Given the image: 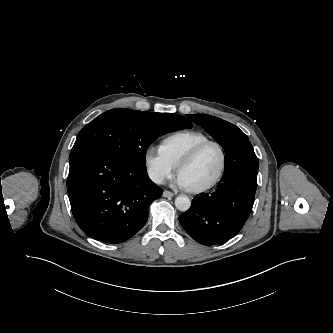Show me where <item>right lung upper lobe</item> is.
<instances>
[{
	"label": "right lung upper lobe",
	"mask_w": 333,
	"mask_h": 333,
	"mask_svg": "<svg viewBox=\"0 0 333 333\" xmlns=\"http://www.w3.org/2000/svg\"><path fill=\"white\" fill-rule=\"evenodd\" d=\"M144 113H146L147 115H150V116H154V117H157V116L161 117V116H165V115H167V114L153 113V112H144ZM175 115H176V114H175ZM178 116H180L183 120L187 121L188 123H191V121L188 120V119H186L185 117H183V116H181V115H178ZM191 124H192V123H191Z\"/></svg>",
	"instance_id": "1"
}]
</instances>
